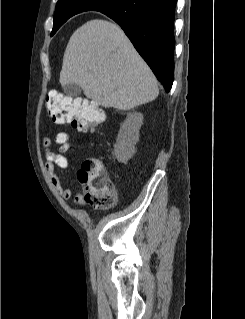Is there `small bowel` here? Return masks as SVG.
I'll return each instance as SVG.
<instances>
[{"mask_svg": "<svg viewBox=\"0 0 245 319\" xmlns=\"http://www.w3.org/2000/svg\"><path fill=\"white\" fill-rule=\"evenodd\" d=\"M42 144L46 157L45 169L49 175L50 181L60 195L68 200L72 196V191L70 188L62 186L57 169H66L68 167V159L65 154L75 147H78V145L71 141L69 134L64 131L58 132L54 140L49 137H44ZM53 144L58 146V152L53 150ZM74 203L76 205L84 204L83 196L81 194H76Z\"/></svg>", "mask_w": 245, "mask_h": 319, "instance_id": "c3829d8e", "label": "small bowel"}]
</instances>
